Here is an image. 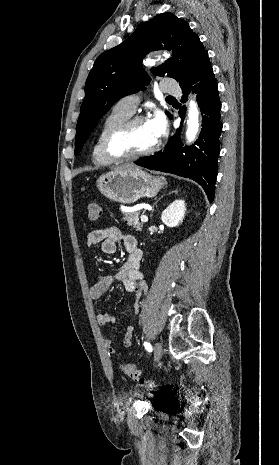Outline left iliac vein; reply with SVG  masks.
<instances>
[{
  "label": "left iliac vein",
  "mask_w": 279,
  "mask_h": 465,
  "mask_svg": "<svg viewBox=\"0 0 279 465\" xmlns=\"http://www.w3.org/2000/svg\"><path fill=\"white\" fill-rule=\"evenodd\" d=\"M162 354H163L162 344L159 342H156L154 345V357L157 362L161 359Z\"/></svg>",
  "instance_id": "4c4485c4"
}]
</instances>
